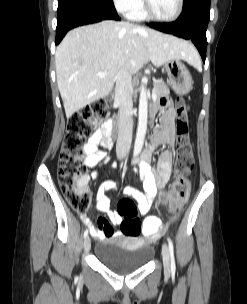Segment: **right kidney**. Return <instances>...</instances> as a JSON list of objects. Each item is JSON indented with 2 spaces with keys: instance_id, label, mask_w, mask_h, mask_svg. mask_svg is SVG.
Segmentation results:
<instances>
[{
  "instance_id": "obj_1",
  "label": "right kidney",
  "mask_w": 247,
  "mask_h": 304,
  "mask_svg": "<svg viewBox=\"0 0 247 304\" xmlns=\"http://www.w3.org/2000/svg\"><path fill=\"white\" fill-rule=\"evenodd\" d=\"M93 124H94V125L97 124V119L93 122Z\"/></svg>"
}]
</instances>
